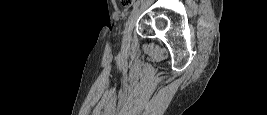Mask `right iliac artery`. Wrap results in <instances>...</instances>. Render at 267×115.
<instances>
[{"mask_svg":"<svg viewBox=\"0 0 267 115\" xmlns=\"http://www.w3.org/2000/svg\"><path fill=\"white\" fill-rule=\"evenodd\" d=\"M138 5H139V1H136V2L134 3V5H133V11L138 7Z\"/></svg>","mask_w":267,"mask_h":115,"instance_id":"1","label":"right iliac artery"}]
</instances>
